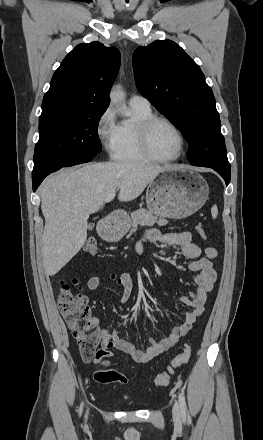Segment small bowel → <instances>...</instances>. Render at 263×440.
<instances>
[{
	"label": "small bowel",
	"instance_id": "small-bowel-1",
	"mask_svg": "<svg viewBox=\"0 0 263 440\" xmlns=\"http://www.w3.org/2000/svg\"><path fill=\"white\" fill-rule=\"evenodd\" d=\"M147 243H159L164 246L177 248L181 254L191 261L188 264V270L195 273L196 288L190 295L182 296L179 301L188 305L190 310L186 313L184 322L175 327L172 332L160 340L148 339L146 350L137 349L133 343L118 336L116 330L100 326L98 318H92V325L96 328L98 341L101 347L120 350L133 359L138 364H147L157 358L161 353L173 347L184 337L193 327L196 319L203 313V306L208 292L213 288L216 281V271L212 264V259L217 255L213 247L201 248L192 243L191 234L186 231L161 233L157 229H150L145 232L140 241L136 244V252L141 254L143 247ZM110 279L114 281L121 289L119 297L121 303H126L133 291V284L129 274L120 275L111 274ZM104 282V277L100 275L92 276L88 279L86 286L89 290H96Z\"/></svg>",
	"mask_w": 263,
	"mask_h": 440
}]
</instances>
